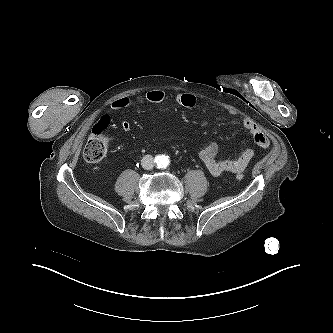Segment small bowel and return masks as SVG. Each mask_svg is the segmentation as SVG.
<instances>
[{
    "mask_svg": "<svg viewBox=\"0 0 333 333\" xmlns=\"http://www.w3.org/2000/svg\"><path fill=\"white\" fill-rule=\"evenodd\" d=\"M165 93L162 90H151L146 94L137 95L133 98H119L111 103L113 110H121L130 107L131 105L150 102L159 104L165 100ZM176 104L186 108H192L196 105L197 99L191 93H180L176 96ZM243 127L251 134L254 142L261 148H268L270 145L269 139L266 137L262 129L250 118H244ZM125 131H130L132 125L129 121L123 120L121 123ZM218 145L214 142L205 145L198 153L199 159L205 165L211 175L220 177L227 173L242 172L254 156V151L251 148H245L241 154L234 159H218Z\"/></svg>",
    "mask_w": 333,
    "mask_h": 333,
    "instance_id": "1",
    "label": "small bowel"
}]
</instances>
